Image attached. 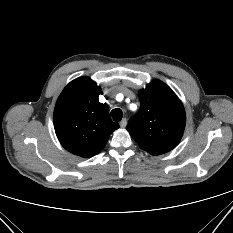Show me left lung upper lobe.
Instances as JSON below:
<instances>
[{
  "mask_svg": "<svg viewBox=\"0 0 233 233\" xmlns=\"http://www.w3.org/2000/svg\"><path fill=\"white\" fill-rule=\"evenodd\" d=\"M140 109L127 130L139 146L152 155L172 150L180 141L185 110L176 94L162 81L153 80L139 92Z\"/></svg>",
  "mask_w": 233,
  "mask_h": 233,
  "instance_id": "obj_1",
  "label": "left lung upper lobe"
}]
</instances>
